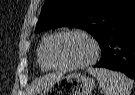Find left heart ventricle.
Wrapping results in <instances>:
<instances>
[{"instance_id":"1","label":"left heart ventricle","mask_w":135,"mask_h":95,"mask_svg":"<svg viewBox=\"0 0 135 95\" xmlns=\"http://www.w3.org/2000/svg\"><path fill=\"white\" fill-rule=\"evenodd\" d=\"M92 55L90 43L77 35L60 37L53 45L52 58L60 65H75L88 60Z\"/></svg>"}]
</instances>
